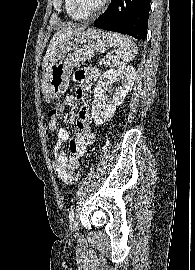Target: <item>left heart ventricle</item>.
<instances>
[{
    "label": "left heart ventricle",
    "instance_id": "1",
    "mask_svg": "<svg viewBox=\"0 0 195 270\" xmlns=\"http://www.w3.org/2000/svg\"><path fill=\"white\" fill-rule=\"evenodd\" d=\"M77 2L83 10L89 11L94 9L101 0H77Z\"/></svg>",
    "mask_w": 195,
    "mask_h": 270
}]
</instances>
